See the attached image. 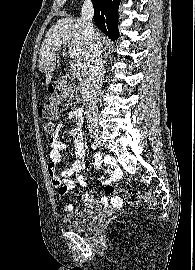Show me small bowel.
<instances>
[{
    "mask_svg": "<svg viewBox=\"0 0 195 270\" xmlns=\"http://www.w3.org/2000/svg\"><path fill=\"white\" fill-rule=\"evenodd\" d=\"M70 121L76 122L75 126L69 132L70 136L74 141L76 160L69 168H58V165L61 162V155L67 149L66 144L60 140L59 134L65 124ZM83 124V108L77 107L71 109L58 123L54 133L49 139L51 150L49 152L50 162L48 163L47 169L51 177L53 186L58 189V193L61 196H65L68 191L75 188L77 182L80 184H85V178L80 174V171L85 166L83 160V157L85 155ZM101 162V156L97 155L95 157V165H99L101 164ZM106 162L109 166L111 178L104 177L102 179V184L104 185L105 192L107 194H113L115 192V187L111 184V182L112 179H117L121 175V170L113 159L108 158L106 159ZM81 200L85 205H92L94 203V198L90 194H84ZM101 203L103 205H110L112 207L119 208L122 206L123 201L119 196H113L111 199L103 197L101 199ZM65 209L67 211H72L73 206L70 203H66Z\"/></svg>",
    "mask_w": 195,
    "mask_h": 270,
    "instance_id": "obj_1",
    "label": "small bowel"
}]
</instances>
